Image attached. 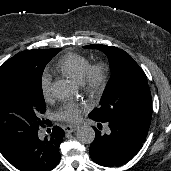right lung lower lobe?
<instances>
[{"instance_id":"1","label":"right lung lower lobe","mask_w":171,"mask_h":171,"mask_svg":"<svg viewBox=\"0 0 171 171\" xmlns=\"http://www.w3.org/2000/svg\"><path fill=\"white\" fill-rule=\"evenodd\" d=\"M64 136L58 126L44 140L39 139L37 132L7 160L21 171H50L60 161L59 145Z\"/></svg>"}]
</instances>
